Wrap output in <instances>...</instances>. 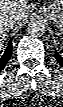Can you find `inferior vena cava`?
Returning a JSON list of instances; mask_svg holds the SVG:
<instances>
[{
	"mask_svg": "<svg viewBox=\"0 0 63 107\" xmlns=\"http://www.w3.org/2000/svg\"><path fill=\"white\" fill-rule=\"evenodd\" d=\"M16 22H17V19L13 15H9L6 17L1 16L0 18V26L1 28H4L6 30L13 28Z\"/></svg>",
	"mask_w": 63,
	"mask_h": 107,
	"instance_id": "obj_1",
	"label": "inferior vena cava"
}]
</instances>
